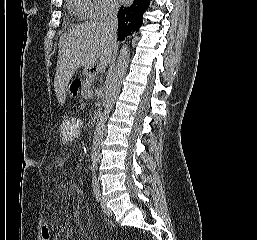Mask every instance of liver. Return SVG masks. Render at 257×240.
<instances>
[{"instance_id": "1", "label": "liver", "mask_w": 257, "mask_h": 240, "mask_svg": "<svg viewBox=\"0 0 257 240\" xmlns=\"http://www.w3.org/2000/svg\"><path fill=\"white\" fill-rule=\"evenodd\" d=\"M116 51V41L102 30L101 23L98 22L77 25L62 35L54 78L59 103H65L67 86L78 68L93 67L99 59L97 71L102 73Z\"/></svg>"}]
</instances>
